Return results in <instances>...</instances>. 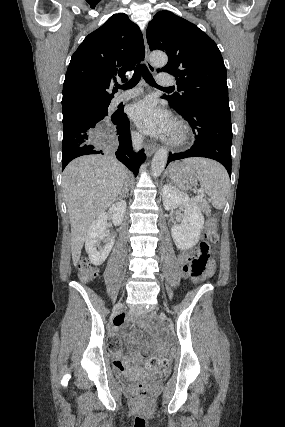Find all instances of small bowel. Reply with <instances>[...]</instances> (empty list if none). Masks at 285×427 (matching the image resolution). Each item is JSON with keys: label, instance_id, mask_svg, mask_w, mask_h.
<instances>
[{"label": "small bowel", "instance_id": "obj_1", "mask_svg": "<svg viewBox=\"0 0 285 427\" xmlns=\"http://www.w3.org/2000/svg\"><path fill=\"white\" fill-rule=\"evenodd\" d=\"M187 255L182 253L179 256V261L184 264ZM130 317H121L114 322L116 327H122L129 322ZM106 343L111 349V358L113 359L114 366L117 369L123 370L131 366L132 364H138L141 362V350L136 348L132 351L130 358H124L121 343L114 338L113 335H109L106 339Z\"/></svg>", "mask_w": 285, "mask_h": 427}]
</instances>
